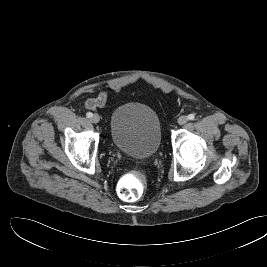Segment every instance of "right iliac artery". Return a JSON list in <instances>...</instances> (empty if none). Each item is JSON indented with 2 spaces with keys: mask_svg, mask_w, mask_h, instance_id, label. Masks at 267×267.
<instances>
[{
  "mask_svg": "<svg viewBox=\"0 0 267 267\" xmlns=\"http://www.w3.org/2000/svg\"><path fill=\"white\" fill-rule=\"evenodd\" d=\"M86 116H87L88 118H91V117L93 116V114H92L91 112H87V113H86Z\"/></svg>",
  "mask_w": 267,
  "mask_h": 267,
  "instance_id": "right-iliac-artery-1",
  "label": "right iliac artery"
}]
</instances>
